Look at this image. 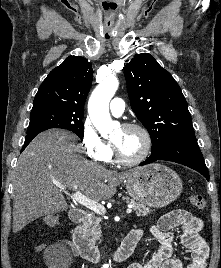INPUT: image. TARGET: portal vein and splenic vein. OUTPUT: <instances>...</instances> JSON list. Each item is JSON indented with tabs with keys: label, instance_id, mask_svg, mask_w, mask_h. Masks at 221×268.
Wrapping results in <instances>:
<instances>
[{
	"label": "portal vein and splenic vein",
	"instance_id": "portal-vein-and-splenic-vein-1",
	"mask_svg": "<svg viewBox=\"0 0 221 268\" xmlns=\"http://www.w3.org/2000/svg\"><path fill=\"white\" fill-rule=\"evenodd\" d=\"M56 186L59 187L61 190H66V188L60 184H56ZM71 197L79 204L87 207L88 209L94 211L97 214H105L106 212V209L103 205L83 195L80 191L72 193ZM131 212H132V206H129L128 209L126 210V213L130 214Z\"/></svg>",
	"mask_w": 221,
	"mask_h": 268
}]
</instances>
